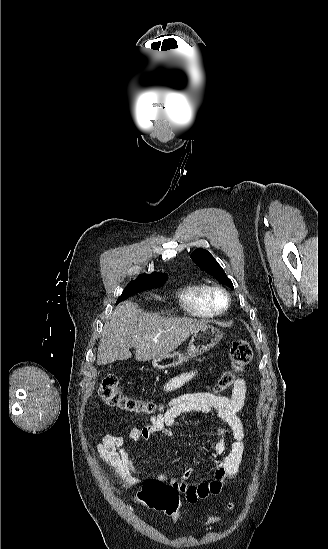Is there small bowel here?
Returning a JSON list of instances; mask_svg holds the SVG:
<instances>
[{"mask_svg":"<svg viewBox=\"0 0 328 549\" xmlns=\"http://www.w3.org/2000/svg\"><path fill=\"white\" fill-rule=\"evenodd\" d=\"M201 371L202 369L197 367L183 372L167 381L163 385V390H176L199 376ZM245 399L246 382L243 378L235 380L230 397L210 392L187 393L171 399L166 409L150 417L142 429L130 426L128 434L138 444L152 441L155 436L170 438L173 436L177 418L186 413L210 414L222 422V425L214 427L215 433L219 436L218 441L206 453L214 465L210 477L200 482L189 483L187 480L191 475V468H186L180 478L171 480L186 501L195 504L201 499L219 495L226 481L233 479L239 471L245 449V432L238 414L244 407ZM229 433L232 436V443L226 453ZM98 453L121 486L129 488L141 483L145 471L136 465V456L125 448L124 439L120 435L114 432L105 434L98 445ZM159 479L165 480L166 477L160 475Z\"/></svg>","mask_w":328,"mask_h":549,"instance_id":"c3829d8e","label":"small bowel"}]
</instances>
